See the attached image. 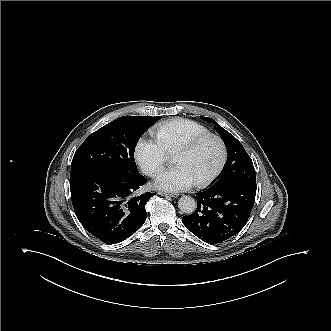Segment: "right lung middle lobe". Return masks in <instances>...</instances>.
Here are the masks:
<instances>
[{
    "instance_id": "1",
    "label": "right lung middle lobe",
    "mask_w": 331,
    "mask_h": 331,
    "mask_svg": "<svg viewBox=\"0 0 331 331\" xmlns=\"http://www.w3.org/2000/svg\"><path fill=\"white\" fill-rule=\"evenodd\" d=\"M154 122L123 116L98 129L75 152L70 178L89 170L108 171L126 180L138 178L135 146Z\"/></svg>"
}]
</instances>
